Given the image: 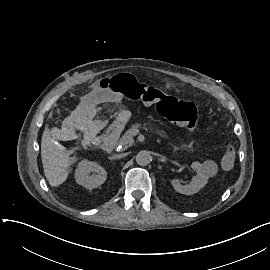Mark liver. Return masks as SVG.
Returning a JSON list of instances; mask_svg holds the SVG:
<instances>
[{"label": "liver", "instance_id": "obj_1", "mask_svg": "<svg viewBox=\"0 0 270 270\" xmlns=\"http://www.w3.org/2000/svg\"><path fill=\"white\" fill-rule=\"evenodd\" d=\"M70 151L62 145L55 144L48 130H44L41 142V158L45 176L53 187L62 184L68 176L67 168L75 161L70 158Z\"/></svg>", "mask_w": 270, "mask_h": 270}]
</instances>
